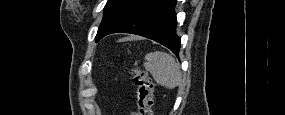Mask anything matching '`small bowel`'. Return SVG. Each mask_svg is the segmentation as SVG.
Wrapping results in <instances>:
<instances>
[{"instance_id":"small-bowel-1","label":"small bowel","mask_w":285,"mask_h":115,"mask_svg":"<svg viewBox=\"0 0 285 115\" xmlns=\"http://www.w3.org/2000/svg\"><path fill=\"white\" fill-rule=\"evenodd\" d=\"M134 114H136L135 112H131V115H134Z\"/></svg>"}]
</instances>
